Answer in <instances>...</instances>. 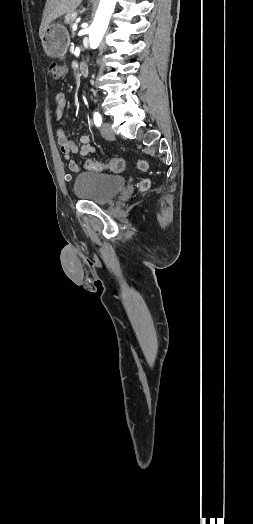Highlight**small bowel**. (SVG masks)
Returning a JSON list of instances; mask_svg holds the SVG:
<instances>
[{
    "instance_id": "1",
    "label": "small bowel",
    "mask_w": 253,
    "mask_h": 524,
    "mask_svg": "<svg viewBox=\"0 0 253 524\" xmlns=\"http://www.w3.org/2000/svg\"><path fill=\"white\" fill-rule=\"evenodd\" d=\"M56 118L61 119L63 116L64 109L67 105L66 96L64 93L59 92L56 94ZM58 144L60 146L61 153L64 159L68 163L70 170L77 172L81 169L80 164L70 158L71 154L80 153L82 156H87L95 151L94 147L90 144L89 136L82 134L80 136L81 147L79 148L73 141L67 137V131L64 127H60L56 131Z\"/></svg>"
}]
</instances>
